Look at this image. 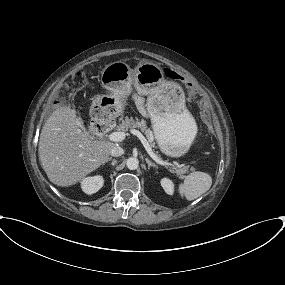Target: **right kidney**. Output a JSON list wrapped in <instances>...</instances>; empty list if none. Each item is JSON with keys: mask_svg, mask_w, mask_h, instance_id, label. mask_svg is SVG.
<instances>
[{"mask_svg": "<svg viewBox=\"0 0 285 285\" xmlns=\"http://www.w3.org/2000/svg\"><path fill=\"white\" fill-rule=\"evenodd\" d=\"M104 180L102 176L87 177L82 180L81 188L87 194L96 193L100 188H102Z\"/></svg>", "mask_w": 285, "mask_h": 285, "instance_id": "ca27d5eb", "label": "right kidney"}]
</instances>
